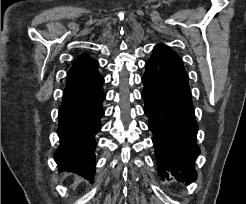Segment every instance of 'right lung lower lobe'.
I'll list each match as a JSON object with an SVG mask.
<instances>
[{
	"mask_svg": "<svg viewBox=\"0 0 246 204\" xmlns=\"http://www.w3.org/2000/svg\"><path fill=\"white\" fill-rule=\"evenodd\" d=\"M94 59H78L70 69L59 110L60 145L54 159L59 171L74 172L92 180L95 134L101 129L105 93L103 77Z\"/></svg>",
	"mask_w": 246,
	"mask_h": 204,
	"instance_id": "obj_1",
	"label": "right lung lower lobe"
}]
</instances>
